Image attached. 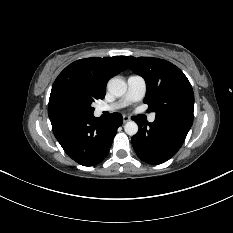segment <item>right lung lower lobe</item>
Instances as JSON below:
<instances>
[{"label": "right lung lower lobe", "mask_w": 233, "mask_h": 233, "mask_svg": "<svg viewBox=\"0 0 233 233\" xmlns=\"http://www.w3.org/2000/svg\"><path fill=\"white\" fill-rule=\"evenodd\" d=\"M53 133L66 154L83 166H93L107 156L123 118L119 113L101 121L93 114L49 116Z\"/></svg>", "instance_id": "1"}]
</instances>
